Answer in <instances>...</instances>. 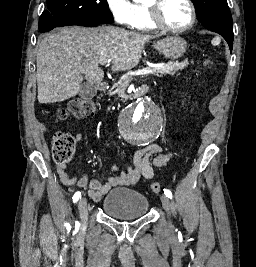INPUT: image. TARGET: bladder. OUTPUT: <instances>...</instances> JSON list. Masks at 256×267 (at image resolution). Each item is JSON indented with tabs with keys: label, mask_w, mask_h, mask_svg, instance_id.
Wrapping results in <instances>:
<instances>
[{
	"label": "bladder",
	"mask_w": 256,
	"mask_h": 267,
	"mask_svg": "<svg viewBox=\"0 0 256 267\" xmlns=\"http://www.w3.org/2000/svg\"><path fill=\"white\" fill-rule=\"evenodd\" d=\"M149 200L138 191L114 188L104 197L102 210L117 219H131L146 214Z\"/></svg>",
	"instance_id": "1"
}]
</instances>
